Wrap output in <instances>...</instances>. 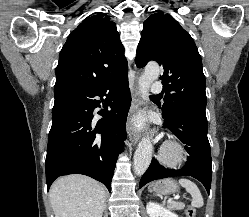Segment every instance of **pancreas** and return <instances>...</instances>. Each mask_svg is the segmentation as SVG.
Wrapping results in <instances>:
<instances>
[{
  "label": "pancreas",
  "instance_id": "pancreas-1",
  "mask_svg": "<svg viewBox=\"0 0 249 217\" xmlns=\"http://www.w3.org/2000/svg\"><path fill=\"white\" fill-rule=\"evenodd\" d=\"M184 207H185V204L182 202H171L168 205L169 209H174V210H181V209H184Z\"/></svg>",
  "mask_w": 249,
  "mask_h": 217
}]
</instances>
